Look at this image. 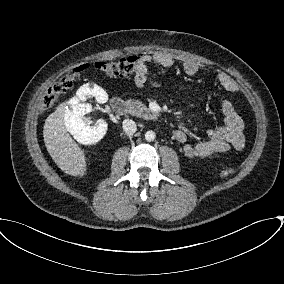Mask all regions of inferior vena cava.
Returning <instances> with one entry per match:
<instances>
[{
    "instance_id": "obj_1",
    "label": "inferior vena cava",
    "mask_w": 284,
    "mask_h": 284,
    "mask_svg": "<svg viewBox=\"0 0 284 284\" xmlns=\"http://www.w3.org/2000/svg\"><path fill=\"white\" fill-rule=\"evenodd\" d=\"M123 130L128 135L134 134L137 130L136 123L133 120L125 119L123 121Z\"/></svg>"
}]
</instances>
